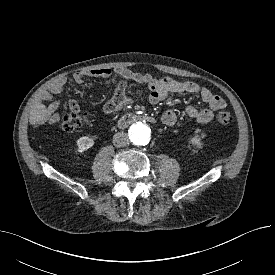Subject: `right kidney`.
<instances>
[{
    "label": "right kidney",
    "mask_w": 275,
    "mask_h": 275,
    "mask_svg": "<svg viewBox=\"0 0 275 275\" xmlns=\"http://www.w3.org/2000/svg\"><path fill=\"white\" fill-rule=\"evenodd\" d=\"M94 145V140L90 137L84 136L77 140L78 151L80 153L88 150Z\"/></svg>",
    "instance_id": "ca27d5eb"
}]
</instances>
